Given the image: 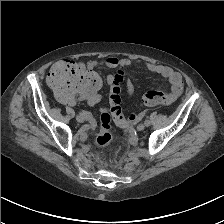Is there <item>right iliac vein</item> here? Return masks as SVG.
Masks as SVG:
<instances>
[{
  "instance_id": "obj_1",
  "label": "right iliac vein",
  "mask_w": 224,
  "mask_h": 224,
  "mask_svg": "<svg viewBox=\"0 0 224 224\" xmlns=\"http://www.w3.org/2000/svg\"><path fill=\"white\" fill-rule=\"evenodd\" d=\"M76 120H77L79 123H83V122L85 121V119H84L80 114H78V115L76 116Z\"/></svg>"
}]
</instances>
